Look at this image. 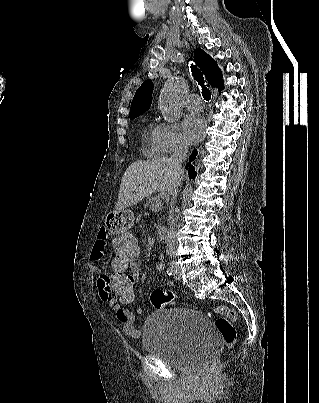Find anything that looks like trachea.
Returning a JSON list of instances; mask_svg holds the SVG:
<instances>
[{
    "mask_svg": "<svg viewBox=\"0 0 319 403\" xmlns=\"http://www.w3.org/2000/svg\"><path fill=\"white\" fill-rule=\"evenodd\" d=\"M191 71L192 74L195 78V80L198 82V84L202 88V96L206 101H209L211 99V92L210 90L204 85V78L202 73L198 70V68L194 65H191Z\"/></svg>",
    "mask_w": 319,
    "mask_h": 403,
    "instance_id": "3493384b",
    "label": "trachea"
}]
</instances>
